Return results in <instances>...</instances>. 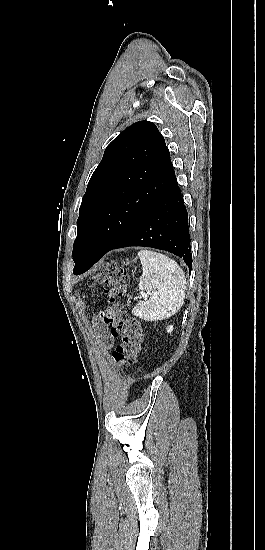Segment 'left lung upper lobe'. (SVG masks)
I'll use <instances>...</instances> for the list:
<instances>
[{"mask_svg": "<svg viewBox=\"0 0 265 550\" xmlns=\"http://www.w3.org/2000/svg\"><path fill=\"white\" fill-rule=\"evenodd\" d=\"M169 150L154 123L139 121L106 148L82 199L74 270L92 251L109 249L175 180Z\"/></svg>", "mask_w": 265, "mask_h": 550, "instance_id": "1", "label": "left lung upper lobe"}]
</instances>
